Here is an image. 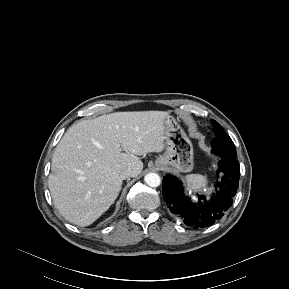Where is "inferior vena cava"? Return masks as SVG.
I'll use <instances>...</instances> for the list:
<instances>
[{"mask_svg": "<svg viewBox=\"0 0 289 289\" xmlns=\"http://www.w3.org/2000/svg\"><path fill=\"white\" fill-rule=\"evenodd\" d=\"M119 175L122 180L127 179L132 176V170L130 168L124 169Z\"/></svg>", "mask_w": 289, "mask_h": 289, "instance_id": "obj_1", "label": "inferior vena cava"}]
</instances>
